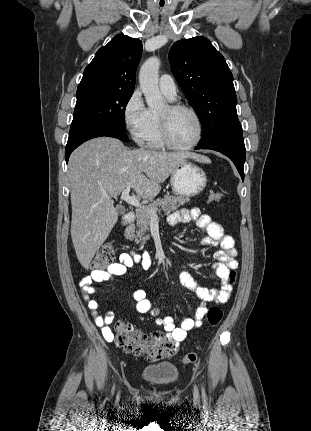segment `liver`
I'll return each mask as SVG.
<instances>
[{
  "label": "liver",
  "mask_w": 311,
  "mask_h": 431,
  "mask_svg": "<svg viewBox=\"0 0 311 431\" xmlns=\"http://www.w3.org/2000/svg\"><path fill=\"white\" fill-rule=\"evenodd\" d=\"M188 158L211 164L207 156L194 152L128 150L115 138H94L71 154L67 172L71 237L85 269L118 219L112 198L132 188L143 200H153L160 194L161 184Z\"/></svg>",
  "instance_id": "liver-1"
}]
</instances>
